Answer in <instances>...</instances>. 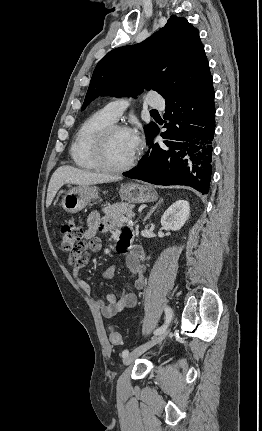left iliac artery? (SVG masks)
<instances>
[{
    "label": "left iliac artery",
    "mask_w": 262,
    "mask_h": 431,
    "mask_svg": "<svg viewBox=\"0 0 262 431\" xmlns=\"http://www.w3.org/2000/svg\"><path fill=\"white\" fill-rule=\"evenodd\" d=\"M165 315H166L165 324L163 326L159 327L158 329H156L154 331V335H158V334L162 333L167 328V326L169 325V323L172 319V310L170 307L165 308ZM128 353H129L128 350H124L122 352V357L125 358L128 355Z\"/></svg>",
    "instance_id": "44dca946"
}]
</instances>
